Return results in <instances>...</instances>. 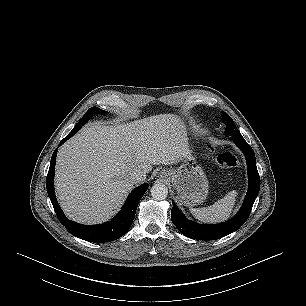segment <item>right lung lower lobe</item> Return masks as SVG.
I'll use <instances>...</instances> for the list:
<instances>
[{
    "mask_svg": "<svg viewBox=\"0 0 306 306\" xmlns=\"http://www.w3.org/2000/svg\"><path fill=\"white\" fill-rule=\"evenodd\" d=\"M73 135L68 134L59 144H63ZM57 149L54 151L46 179L48 196L52 202L55 213L63 226L74 236L90 242H110L126 234L133 223L138 203L146 190L145 183L132 191L128 196L121 211L111 220L104 224L86 226L68 220L58 205L54 191V167L56 162Z\"/></svg>",
    "mask_w": 306,
    "mask_h": 306,
    "instance_id": "98d812e1",
    "label": "right lung lower lobe"
}]
</instances>
